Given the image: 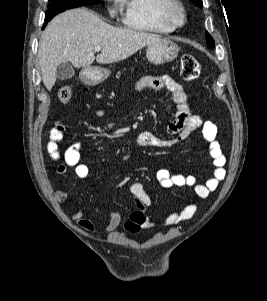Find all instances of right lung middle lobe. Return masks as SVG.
I'll return each instance as SVG.
<instances>
[{"label":"right lung middle lobe","instance_id":"right-lung-middle-lobe-1","mask_svg":"<svg viewBox=\"0 0 267 301\" xmlns=\"http://www.w3.org/2000/svg\"><path fill=\"white\" fill-rule=\"evenodd\" d=\"M48 2L44 27L54 16L67 9L92 5L101 2V0H48Z\"/></svg>","mask_w":267,"mask_h":301}]
</instances>
